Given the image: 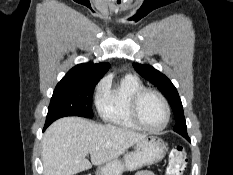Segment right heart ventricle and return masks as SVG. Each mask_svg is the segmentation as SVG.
<instances>
[{"label": "right heart ventricle", "instance_id": "e07e8e85", "mask_svg": "<svg viewBox=\"0 0 233 175\" xmlns=\"http://www.w3.org/2000/svg\"><path fill=\"white\" fill-rule=\"evenodd\" d=\"M142 88L144 85L141 80L133 75H125L114 84L106 80L96 99L101 119L119 129L140 130L131 117L130 101L133 94Z\"/></svg>", "mask_w": 233, "mask_h": 175}]
</instances>
